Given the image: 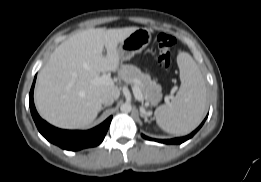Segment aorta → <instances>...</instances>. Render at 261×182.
I'll use <instances>...</instances> for the list:
<instances>
[{
	"mask_svg": "<svg viewBox=\"0 0 261 182\" xmlns=\"http://www.w3.org/2000/svg\"><path fill=\"white\" fill-rule=\"evenodd\" d=\"M121 112L129 113L132 110V106L130 103H123L120 107Z\"/></svg>",
	"mask_w": 261,
	"mask_h": 182,
	"instance_id": "aorta-1",
	"label": "aorta"
}]
</instances>
